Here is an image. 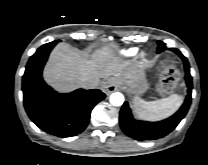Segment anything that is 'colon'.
Listing matches in <instances>:
<instances>
[{"instance_id":"1","label":"colon","mask_w":208,"mask_h":165,"mask_svg":"<svg viewBox=\"0 0 208 165\" xmlns=\"http://www.w3.org/2000/svg\"><path fill=\"white\" fill-rule=\"evenodd\" d=\"M179 73L174 63L167 59L160 74L158 89L160 92L167 93L174 90L179 80Z\"/></svg>"}]
</instances>
